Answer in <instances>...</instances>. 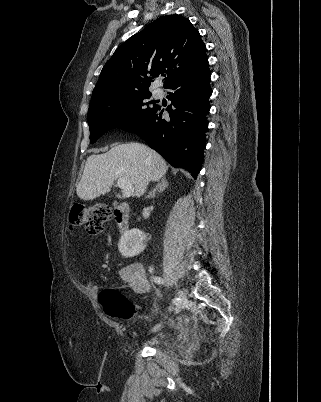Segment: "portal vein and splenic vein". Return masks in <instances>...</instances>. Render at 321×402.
Segmentation results:
<instances>
[{
    "mask_svg": "<svg viewBox=\"0 0 321 402\" xmlns=\"http://www.w3.org/2000/svg\"><path fill=\"white\" fill-rule=\"evenodd\" d=\"M117 185L119 188L122 189L124 197H130L132 195V193L134 192V188H133L130 180H128V179H125V178L118 179Z\"/></svg>",
    "mask_w": 321,
    "mask_h": 402,
    "instance_id": "obj_1",
    "label": "portal vein and splenic vein"
}]
</instances>
